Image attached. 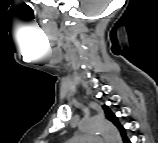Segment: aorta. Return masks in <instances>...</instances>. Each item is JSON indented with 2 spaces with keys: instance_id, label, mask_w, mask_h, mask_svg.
<instances>
[{
  "instance_id": "aorta-1",
  "label": "aorta",
  "mask_w": 158,
  "mask_h": 143,
  "mask_svg": "<svg viewBox=\"0 0 158 143\" xmlns=\"http://www.w3.org/2000/svg\"><path fill=\"white\" fill-rule=\"evenodd\" d=\"M80 130L84 133H100L107 143H122L118 129L102 117H93L81 122Z\"/></svg>"
}]
</instances>
